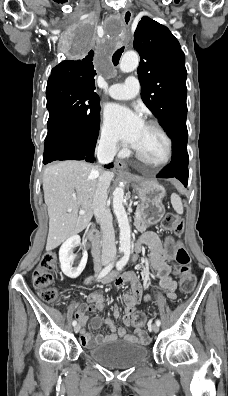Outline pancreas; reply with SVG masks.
<instances>
[{"label": "pancreas", "mask_w": 228, "mask_h": 396, "mask_svg": "<svg viewBox=\"0 0 228 396\" xmlns=\"http://www.w3.org/2000/svg\"><path fill=\"white\" fill-rule=\"evenodd\" d=\"M134 212L135 213L141 212V209L135 208ZM134 219H135V226L137 227L139 232L144 233L145 230L147 229V227L149 226V223L148 222H142L140 215H135Z\"/></svg>", "instance_id": "cf45deb5"}]
</instances>
